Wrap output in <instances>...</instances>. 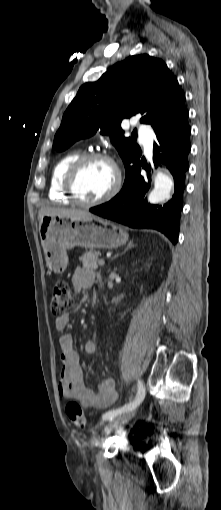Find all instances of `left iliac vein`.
I'll return each mask as SVG.
<instances>
[{
  "label": "left iliac vein",
  "mask_w": 221,
  "mask_h": 510,
  "mask_svg": "<svg viewBox=\"0 0 221 510\" xmlns=\"http://www.w3.org/2000/svg\"><path fill=\"white\" fill-rule=\"evenodd\" d=\"M140 384L144 387V384L142 381H139ZM145 388V387H144ZM141 389V388H140ZM136 414L135 410L129 411L124 413L123 415H118L117 417L113 418L105 427V434L108 435L111 433V431L119 426L125 425L128 423Z\"/></svg>",
  "instance_id": "4c4485c4"
}]
</instances>
